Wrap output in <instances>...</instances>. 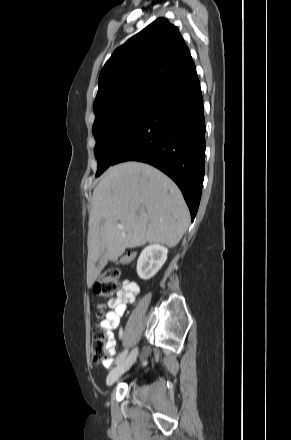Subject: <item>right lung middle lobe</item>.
Returning a JSON list of instances; mask_svg holds the SVG:
<instances>
[{"instance_id": "dd1d6c3e", "label": "right lung middle lobe", "mask_w": 291, "mask_h": 440, "mask_svg": "<svg viewBox=\"0 0 291 440\" xmlns=\"http://www.w3.org/2000/svg\"><path fill=\"white\" fill-rule=\"evenodd\" d=\"M155 97L139 96L111 102L96 109L92 127L96 139L94 154L98 162L96 177L111 164L123 144L140 126Z\"/></svg>"}]
</instances>
